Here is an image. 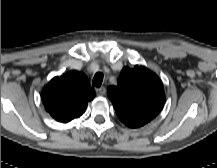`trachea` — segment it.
Here are the masks:
<instances>
[{"mask_svg": "<svg viewBox=\"0 0 217 168\" xmlns=\"http://www.w3.org/2000/svg\"><path fill=\"white\" fill-rule=\"evenodd\" d=\"M103 81V74L101 72H98L93 77V86L99 88Z\"/></svg>", "mask_w": 217, "mask_h": 168, "instance_id": "1", "label": "trachea"}]
</instances>
